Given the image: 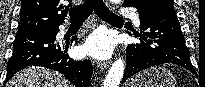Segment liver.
I'll use <instances>...</instances> for the list:
<instances>
[{
  "label": "liver",
  "instance_id": "liver-1",
  "mask_svg": "<svg viewBox=\"0 0 205 87\" xmlns=\"http://www.w3.org/2000/svg\"><path fill=\"white\" fill-rule=\"evenodd\" d=\"M6 87H71V85L54 71L29 67L15 74Z\"/></svg>",
  "mask_w": 205,
  "mask_h": 87
}]
</instances>
